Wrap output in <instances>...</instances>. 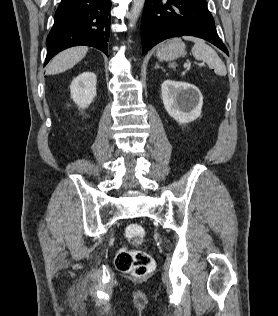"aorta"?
Listing matches in <instances>:
<instances>
[{"mask_svg":"<svg viewBox=\"0 0 278 316\" xmlns=\"http://www.w3.org/2000/svg\"><path fill=\"white\" fill-rule=\"evenodd\" d=\"M145 0H133L131 12L129 14L130 27L134 26V23L139 18L142 9L144 7Z\"/></svg>","mask_w":278,"mask_h":316,"instance_id":"762f6f07","label":"aorta"}]
</instances>
